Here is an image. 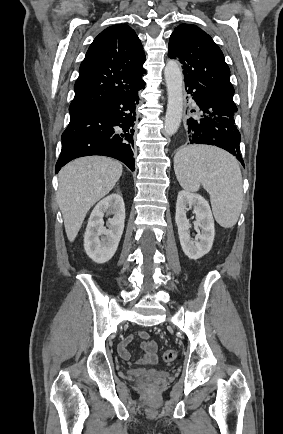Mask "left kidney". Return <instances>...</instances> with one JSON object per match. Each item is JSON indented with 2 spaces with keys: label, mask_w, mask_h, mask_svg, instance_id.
<instances>
[{
  "label": "left kidney",
  "mask_w": 283,
  "mask_h": 434,
  "mask_svg": "<svg viewBox=\"0 0 283 434\" xmlns=\"http://www.w3.org/2000/svg\"><path fill=\"white\" fill-rule=\"evenodd\" d=\"M188 207L193 208L197 221L198 234L194 241L190 238L191 224L186 217ZM175 222L182 250L190 259L197 260L211 250L215 236L214 219L205 198L185 190L180 191L176 202Z\"/></svg>",
  "instance_id": "left-kidney-1"
}]
</instances>
